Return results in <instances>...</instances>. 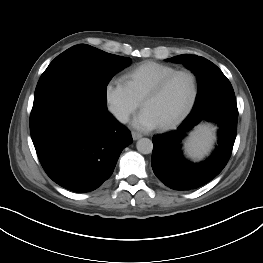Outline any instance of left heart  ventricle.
<instances>
[{"label": "left heart ventricle", "instance_id": "left-heart-ventricle-1", "mask_svg": "<svg viewBox=\"0 0 263 263\" xmlns=\"http://www.w3.org/2000/svg\"><path fill=\"white\" fill-rule=\"evenodd\" d=\"M192 91V81L189 76H176L160 95L148 100L143 108L151 112L159 125L166 124L179 116L187 107Z\"/></svg>", "mask_w": 263, "mask_h": 263}]
</instances>
